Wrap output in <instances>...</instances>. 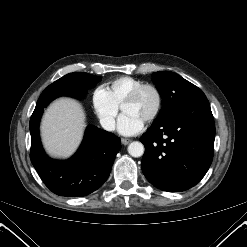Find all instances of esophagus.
Masks as SVG:
<instances>
[{
    "instance_id": "34e87169",
    "label": "esophagus",
    "mask_w": 247,
    "mask_h": 247,
    "mask_svg": "<svg viewBox=\"0 0 247 247\" xmlns=\"http://www.w3.org/2000/svg\"><path fill=\"white\" fill-rule=\"evenodd\" d=\"M121 142H122L123 145H127V144H129L131 142V140L130 139H126V138H122Z\"/></svg>"
}]
</instances>
